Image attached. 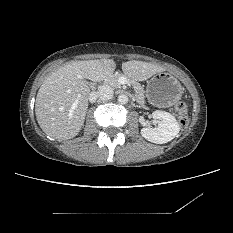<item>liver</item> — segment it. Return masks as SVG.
Returning a JSON list of instances; mask_svg holds the SVG:
<instances>
[{
    "instance_id": "6515ba94",
    "label": "liver",
    "mask_w": 233,
    "mask_h": 233,
    "mask_svg": "<svg viewBox=\"0 0 233 233\" xmlns=\"http://www.w3.org/2000/svg\"><path fill=\"white\" fill-rule=\"evenodd\" d=\"M115 69L112 59L86 60L69 63L49 75L39 88L35 103L36 118L43 132L58 140L77 136L88 109L90 88L86 79L100 82ZM122 71L131 80L144 81L165 68L132 60L122 63ZM77 99L78 106L72 111Z\"/></svg>"
}]
</instances>
